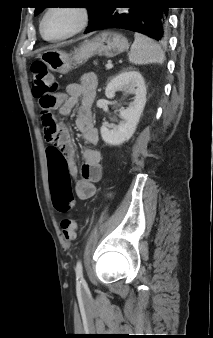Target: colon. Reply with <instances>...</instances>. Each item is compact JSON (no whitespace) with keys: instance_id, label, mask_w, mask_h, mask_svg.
I'll return each instance as SVG.
<instances>
[{"instance_id":"5ec220e1","label":"colon","mask_w":213,"mask_h":338,"mask_svg":"<svg viewBox=\"0 0 213 338\" xmlns=\"http://www.w3.org/2000/svg\"><path fill=\"white\" fill-rule=\"evenodd\" d=\"M33 72L32 92L37 99L40 115L44 125V136L48 139L57 131L56 122L52 114L59 89L57 78L47 70L42 61H35L31 66ZM53 205L56 210L65 212L74 205V198L70 187L63 181H54L52 185ZM61 231L66 241H72L77 234V224L73 219L64 218L61 221Z\"/></svg>"}]
</instances>
